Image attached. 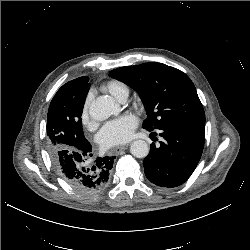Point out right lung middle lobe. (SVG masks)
<instances>
[{
  "label": "right lung middle lobe",
  "instance_id": "1",
  "mask_svg": "<svg viewBox=\"0 0 250 250\" xmlns=\"http://www.w3.org/2000/svg\"><path fill=\"white\" fill-rule=\"evenodd\" d=\"M86 76L70 89H62L52 99L47 118V145L50 154L60 150H80L89 142L84 136L81 115L90 88Z\"/></svg>",
  "mask_w": 250,
  "mask_h": 250
}]
</instances>
